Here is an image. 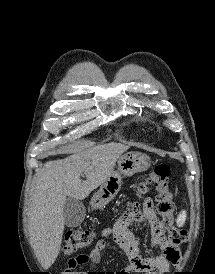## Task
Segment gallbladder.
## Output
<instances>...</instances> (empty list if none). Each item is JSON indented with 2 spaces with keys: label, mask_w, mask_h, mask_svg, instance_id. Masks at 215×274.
<instances>
[{
  "label": "gallbladder",
  "mask_w": 215,
  "mask_h": 274,
  "mask_svg": "<svg viewBox=\"0 0 215 274\" xmlns=\"http://www.w3.org/2000/svg\"><path fill=\"white\" fill-rule=\"evenodd\" d=\"M86 215V209L82 201L68 197L63 207L64 222L67 227L79 226Z\"/></svg>",
  "instance_id": "bac80fb5"
}]
</instances>
